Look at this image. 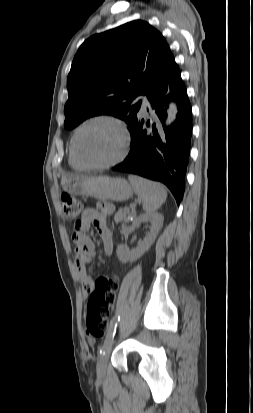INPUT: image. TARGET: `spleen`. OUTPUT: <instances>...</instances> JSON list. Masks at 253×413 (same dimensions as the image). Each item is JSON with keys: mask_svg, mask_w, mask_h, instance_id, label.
<instances>
[{"mask_svg": "<svg viewBox=\"0 0 253 413\" xmlns=\"http://www.w3.org/2000/svg\"><path fill=\"white\" fill-rule=\"evenodd\" d=\"M128 179L134 192L141 198L145 212L153 213L165 202L167 191L160 183L136 175H129Z\"/></svg>", "mask_w": 253, "mask_h": 413, "instance_id": "3e777b00", "label": "spleen"}]
</instances>
